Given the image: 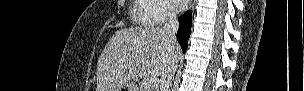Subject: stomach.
Instances as JSON below:
<instances>
[{"mask_svg":"<svg viewBox=\"0 0 304 91\" xmlns=\"http://www.w3.org/2000/svg\"><path fill=\"white\" fill-rule=\"evenodd\" d=\"M121 90L136 91L133 87H130V86H125Z\"/></svg>","mask_w":304,"mask_h":91,"instance_id":"0dacf381","label":"stomach"}]
</instances>
